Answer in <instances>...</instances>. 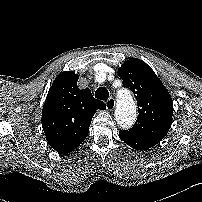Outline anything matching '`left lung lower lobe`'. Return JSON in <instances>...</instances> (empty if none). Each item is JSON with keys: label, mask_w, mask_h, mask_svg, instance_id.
I'll return each mask as SVG.
<instances>
[{"label": "left lung lower lobe", "mask_w": 202, "mask_h": 202, "mask_svg": "<svg viewBox=\"0 0 202 202\" xmlns=\"http://www.w3.org/2000/svg\"><path fill=\"white\" fill-rule=\"evenodd\" d=\"M119 137L125 143H127L130 147L140 151L149 149L157 145L161 141L159 139L135 135L129 132V130H126V131L120 130Z\"/></svg>", "instance_id": "1"}]
</instances>
